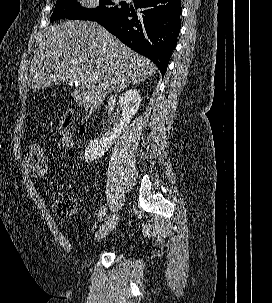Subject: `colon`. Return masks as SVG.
<instances>
[{"label":"colon","instance_id":"colon-1","mask_svg":"<svg viewBox=\"0 0 272 303\" xmlns=\"http://www.w3.org/2000/svg\"><path fill=\"white\" fill-rule=\"evenodd\" d=\"M73 123L69 114H66L60 124L62 148L68 149L72 144ZM31 164L35 172L46 174L49 171L47 162V153L42 144L35 142L30 148ZM52 210L55 214L62 217L75 215L79 210V205L76 199L68 194L56 193L51 198Z\"/></svg>","mask_w":272,"mask_h":303}]
</instances>
